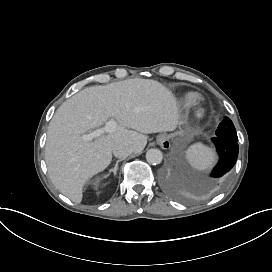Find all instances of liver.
Listing matches in <instances>:
<instances>
[{
  "mask_svg": "<svg viewBox=\"0 0 272 272\" xmlns=\"http://www.w3.org/2000/svg\"><path fill=\"white\" fill-rule=\"evenodd\" d=\"M177 117L171 92L152 80L129 79L79 91L57 109L48 128L45 161L52 183L81 203L85 184L108 168L116 145L127 143L139 153L147 144L145 134L173 130ZM110 119L116 123L113 132L82 139Z\"/></svg>",
  "mask_w": 272,
  "mask_h": 272,
  "instance_id": "liver-1",
  "label": "liver"
}]
</instances>
